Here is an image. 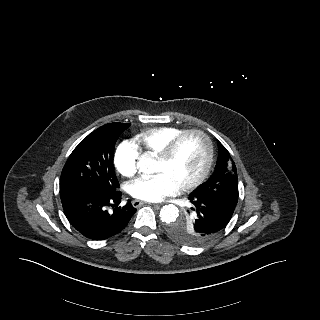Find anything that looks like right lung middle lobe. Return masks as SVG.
Segmentation results:
<instances>
[{
    "instance_id": "dd1d6c3e",
    "label": "right lung middle lobe",
    "mask_w": 320,
    "mask_h": 320,
    "mask_svg": "<svg viewBox=\"0 0 320 320\" xmlns=\"http://www.w3.org/2000/svg\"><path fill=\"white\" fill-rule=\"evenodd\" d=\"M129 123H109L84 138L69 156L61 173L60 193H109L119 187L113 152Z\"/></svg>"
}]
</instances>
